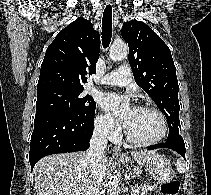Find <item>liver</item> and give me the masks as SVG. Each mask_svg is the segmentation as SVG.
I'll list each match as a JSON object with an SVG mask.
<instances>
[{
    "mask_svg": "<svg viewBox=\"0 0 211 195\" xmlns=\"http://www.w3.org/2000/svg\"><path fill=\"white\" fill-rule=\"evenodd\" d=\"M156 151L131 152L140 161ZM84 152L60 153L40 159L34 166L37 195H86L91 173L90 163ZM108 157L103 155V172L106 175Z\"/></svg>",
    "mask_w": 211,
    "mask_h": 195,
    "instance_id": "liver-1",
    "label": "liver"
}]
</instances>
